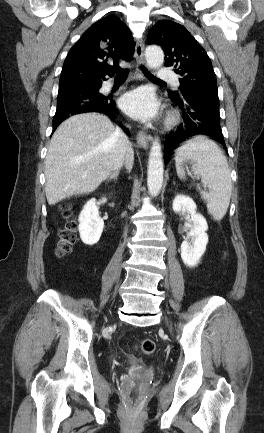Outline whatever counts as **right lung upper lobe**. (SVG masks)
Listing matches in <instances>:
<instances>
[{"instance_id": "1", "label": "right lung upper lobe", "mask_w": 264, "mask_h": 433, "mask_svg": "<svg viewBox=\"0 0 264 433\" xmlns=\"http://www.w3.org/2000/svg\"><path fill=\"white\" fill-rule=\"evenodd\" d=\"M135 43L131 31L115 15L94 23L69 51L62 68L59 88L89 83L114 75L118 60H129ZM113 61V66L108 62Z\"/></svg>"}]
</instances>
